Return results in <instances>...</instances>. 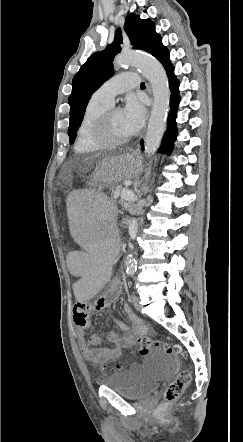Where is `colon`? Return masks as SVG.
Returning a JSON list of instances; mask_svg holds the SVG:
<instances>
[{
    "label": "colon",
    "instance_id": "obj_1",
    "mask_svg": "<svg viewBox=\"0 0 243 442\" xmlns=\"http://www.w3.org/2000/svg\"><path fill=\"white\" fill-rule=\"evenodd\" d=\"M119 221L121 224H119V227H127L128 229H140L143 230L147 227V224L143 221H140L136 223L135 218H130V222L126 224L128 221V214L127 213H120L119 214ZM84 323V322H81ZM140 348H139V355L142 357L147 356L151 350L154 347H161L163 351L169 355H173L177 358L181 357L180 352L171 344L165 342V341H155L151 339L148 336H141L139 338ZM122 366L120 364H116L114 367V370H120ZM191 382V374L187 370H183L179 372L177 377L168 385V387L165 390V402L166 404H170L174 401H176L181 394L184 392L186 387Z\"/></svg>",
    "mask_w": 243,
    "mask_h": 442
}]
</instances>
